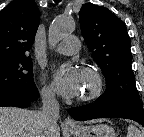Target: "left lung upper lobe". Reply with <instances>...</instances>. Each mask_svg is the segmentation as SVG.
Here are the masks:
<instances>
[{"label":"left lung upper lobe","mask_w":144,"mask_h":137,"mask_svg":"<svg viewBox=\"0 0 144 137\" xmlns=\"http://www.w3.org/2000/svg\"><path fill=\"white\" fill-rule=\"evenodd\" d=\"M79 19L85 42L106 79V90L99 98L106 102L138 99L125 24L109 9L91 3L82 6Z\"/></svg>","instance_id":"1"}]
</instances>
